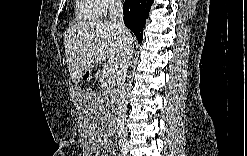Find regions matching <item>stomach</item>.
Listing matches in <instances>:
<instances>
[{
    "mask_svg": "<svg viewBox=\"0 0 247 156\" xmlns=\"http://www.w3.org/2000/svg\"><path fill=\"white\" fill-rule=\"evenodd\" d=\"M84 75H86V78H87V77H88V78L91 77V73H89L88 71H87ZM84 75H83V76H84Z\"/></svg>",
    "mask_w": 247,
    "mask_h": 156,
    "instance_id": "stomach-1",
    "label": "stomach"
}]
</instances>
